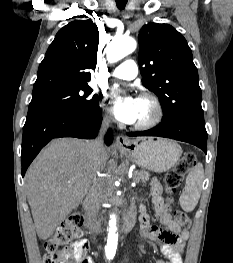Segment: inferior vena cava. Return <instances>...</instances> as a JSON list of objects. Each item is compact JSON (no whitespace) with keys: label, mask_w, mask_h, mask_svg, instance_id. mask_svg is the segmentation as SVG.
<instances>
[{"label":"inferior vena cava","mask_w":233,"mask_h":263,"mask_svg":"<svg viewBox=\"0 0 233 263\" xmlns=\"http://www.w3.org/2000/svg\"><path fill=\"white\" fill-rule=\"evenodd\" d=\"M110 119L105 117L103 119L99 137L92 141V147L96 154V160L100 163V155L105 150L103 143V135L109 126ZM84 210L89 218L91 225H96L98 223V215L100 210V201H99V190L96 185V179L93 181L92 186L88 192V195L83 204Z\"/></svg>","instance_id":"obj_1"}]
</instances>
